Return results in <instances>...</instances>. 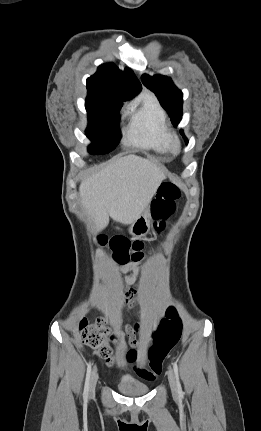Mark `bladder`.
Wrapping results in <instances>:
<instances>
[{"instance_id":"bladder-1","label":"bladder","mask_w":261,"mask_h":431,"mask_svg":"<svg viewBox=\"0 0 261 431\" xmlns=\"http://www.w3.org/2000/svg\"><path fill=\"white\" fill-rule=\"evenodd\" d=\"M117 389L127 396H142L149 392L148 384L139 382L130 374H123L119 378Z\"/></svg>"}]
</instances>
